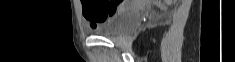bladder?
<instances>
[{
	"instance_id": "obj_1",
	"label": "bladder",
	"mask_w": 235,
	"mask_h": 62,
	"mask_svg": "<svg viewBox=\"0 0 235 62\" xmlns=\"http://www.w3.org/2000/svg\"><path fill=\"white\" fill-rule=\"evenodd\" d=\"M140 20V10L136 6H128L97 28L95 33L107 38L117 37L134 29Z\"/></svg>"
}]
</instances>
